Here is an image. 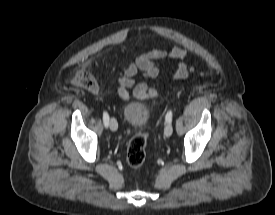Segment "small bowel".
I'll use <instances>...</instances> for the list:
<instances>
[{"label":"small bowel","mask_w":275,"mask_h":215,"mask_svg":"<svg viewBox=\"0 0 275 215\" xmlns=\"http://www.w3.org/2000/svg\"><path fill=\"white\" fill-rule=\"evenodd\" d=\"M189 52L180 46H174L169 52L164 49H152L147 51L128 65L123 67L121 75L117 79V95L123 100H129L128 89H132L133 95L138 99L153 98L158 94L155 86H150L146 81L135 83V76L141 71L146 80L154 79L161 72L160 61L168 57L174 64L173 79H184L188 75V66L185 62Z\"/></svg>","instance_id":"c3829d8e"}]
</instances>
